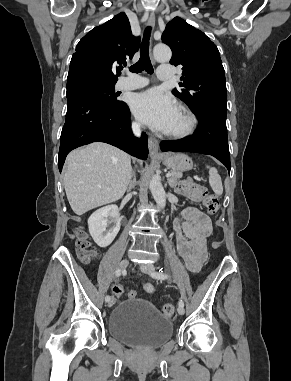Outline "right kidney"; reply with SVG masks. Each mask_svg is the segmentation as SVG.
<instances>
[{
	"label": "right kidney",
	"mask_w": 291,
	"mask_h": 381,
	"mask_svg": "<svg viewBox=\"0 0 291 381\" xmlns=\"http://www.w3.org/2000/svg\"><path fill=\"white\" fill-rule=\"evenodd\" d=\"M108 218L112 219L113 226L107 230ZM121 226V217L116 205H108L96 210L88 219L89 233L94 242L100 247L110 245L118 234Z\"/></svg>",
	"instance_id": "right-kidney-1"
}]
</instances>
